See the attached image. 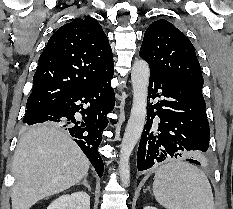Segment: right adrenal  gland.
I'll return each mask as SVG.
<instances>
[{"label":"right adrenal gland","instance_id":"2a0ac1e0","mask_svg":"<svg viewBox=\"0 0 233 209\" xmlns=\"http://www.w3.org/2000/svg\"><path fill=\"white\" fill-rule=\"evenodd\" d=\"M87 176H88V174H86L85 177H84V179H83V181L80 182V183H78L77 185L83 184L84 186H86L88 188V191H91V187H90V185L87 182Z\"/></svg>","mask_w":233,"mask_h":209}]
</instances>
